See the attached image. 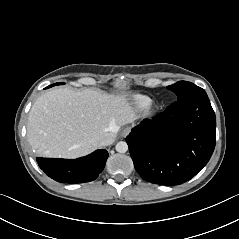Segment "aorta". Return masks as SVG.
<instances>
[{
    "mask_svg": "<svg viewBox=\"0 0 239 239\" xmlns=\"http://www.w3.org/2000/svg\"><path fill=\"white\" fill-rule=\"evenodd\" d=\"M115 148H116V151L119 152V153H125V152L128 151V145L124 141L118 142L116 144Z\"/></svg>",
    "mask_w": 239,
    "mask_h": 239,
    "instance_id": "1",
    "label": "aorta"
}]
</instances>
